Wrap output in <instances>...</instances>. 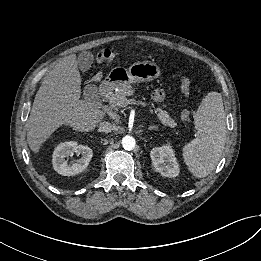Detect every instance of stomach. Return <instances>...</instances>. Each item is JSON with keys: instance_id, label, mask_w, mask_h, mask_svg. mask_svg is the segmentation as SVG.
Wrapping results in <instances>:
<instances>
[{"instance_id": "1", "label": "stomach", "mask_w": 261, "mask_h": 261, "mask_svg": "<svg viewBox=\"0 0 261 261\" xmlns=\"http://www.w3.org/2000/svg\"><path fill=\"white\" fill-rule=\"evenodd\" d=\"M161 74L160 68L155 63L143 61L132 64L128 69L114 68L109 74V80L117 86H123L152 81L159 78Z\"/></svg>"}]
</instances>
